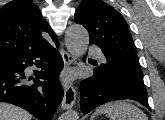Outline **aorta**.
<instances>
[{"instance_id":"762f6f07","label":"aorta","mask_w":165,"mask_h":120,"mask_svg":"<svg viewBox=\"0 0 165 120\" xmlns=\"http://www.w3.org/2000/svg\"><path fill=\"white\" fill-rule=\"evenodd\" d=\"M65 43L67 50L75 57L84 55L89 44V34L87 30L79 24H72L66 30ZM78 113L74 110L64 113L60 120H78Z\"/></svg>"}]
</instances>
